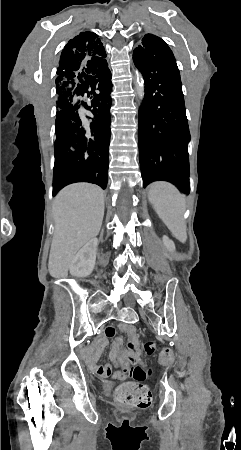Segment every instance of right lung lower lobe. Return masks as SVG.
Here are the masks:
<instances>
[{
    "mask_svg": "<svg viewBox=\"0 0 241 450\" xmlns=\"http://www.w3.org/2000/svg\"><path fill=\"white\" fill-rule=\"evenodd\" d=\"M108 63L86 68L62 79L56 87L61 90L62 105L56 118L55 163L53 195L68 184L89 182L107 186L110 143V107L112 99L111 72ZM90 97V106L79 96ZM94 118L84 125L79 116L80 106Z\"/></svg>",
    "mask_w": 241,
    "mask_h": 450,
    "instance_id": "98d812e1",
    "label": "right lung lower lobe"
}]
</instances>
